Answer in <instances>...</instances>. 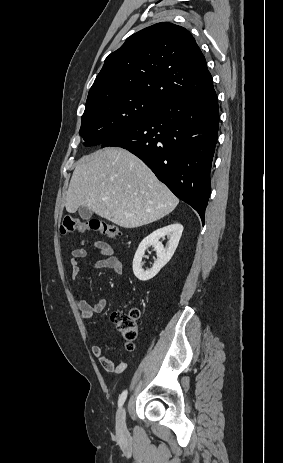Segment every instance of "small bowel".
Wrapping results in <instances>:
<instances>
[{
  "instance_id": "c3829d8e",
  "label": "small bowel",
  "mask_w": 283,
  "mask_h": 463,
  "mask_svg": "<svg viewBox=\"0 0 283 463\" xmlns=\"http://www.w3.org/2000/svg\"><path fill=\"white\" fill-rule=\"evenodd\" d=\"M92 243L97 251L104 255V258L96 260L90 265V269H110L117 274H121L123 271L122 263L119 257L114 254L113 247L101 240L89 241L84 240L80 247L75 248L71 252V275L74 279L79 276L80 265L79 262L81 259L87 256L86 245ZM76 304L79 310L82 313L84 319H91L96 314L102 312L107 307V300L100 299L96 304H89L84 298L78 296L76 297ZM93 356L100 362L101 366L109 372L122 373L126 368L125 362L116 363L110 359L104 352L103 348L99 345H94L91 348Z\"/></svg>"
}]
</instances>
